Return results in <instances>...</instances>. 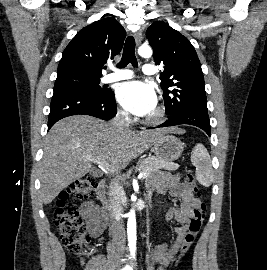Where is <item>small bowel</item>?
Returning a JSON list of instances; mask_svg holds the SVG:
<instances>
[{"label":"small bowel","mask_w":267,"mask_h":270,"mask_svg":"<svg viewBox=\"0 0 267 270\" xmlns=\"http://www.w3.org/2000/svg\"><path fill=\"white\" fill-rule=\"evenodd\" d=\"M154 194L168 196L172 201L179 200V204L171 205L165 214L167 221L177 223L173 228L174 238L171 242L163 241L157 244L153 252L154 260L167 266L180 250L190 218L200 201L194 196L193 191L180 181L178 175L169 173H162L148 179L147 199H151ZM159 203L164 202L160 200ZM80 213L85 219L89 234L94 238L100 237L107 228L104 211L93 203H85Z\"/></svg>","instance_id":"obj_1"}]
</instances>
